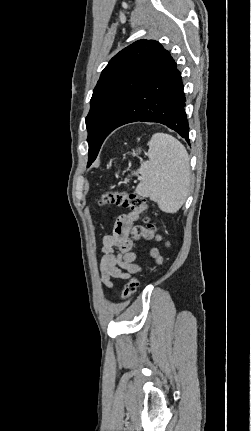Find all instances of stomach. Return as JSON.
<instances>
[{
  "mask_svg": "<svg viewBox=\"0 0 251 431\" xmlns=\"http://www.w3.org/2000/svg\"><path fill=\"white\" fill-rule=\"evenodd\" d=\"M140 152H141V149H138L137 153H140ZM134 155H136L135 151H134Z\"/></svg>",
  "mask_w": 251,
  "mask_h": 431,
  "instance_id": "obj_1",
  "label": "stomach"
}]
</instances>
